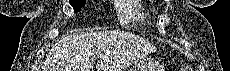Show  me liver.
I'll return each instance as SVG.
<instances>
[{
    "label": "liver",
    "instance_id": "obj_1",
    "mask_svg": "<svg viewBox=\"0 0 230 71\" xmlns=\"http://www.w3.org/2000/svg\"><path fill=\"white\" fill-rule=\"evenodd\" d=\"M155 51L149 42L130 33L79 32L65 36L49 51L44 71H123L132 61Z\"/></svg>",
    "mask_w": 230,
    "mask_h": 71
}]
</instances>
